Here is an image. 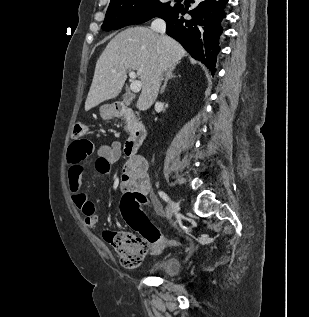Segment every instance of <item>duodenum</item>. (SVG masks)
Returning <instances> with one entry per match:
<instances>
[{
  "label": "duodenum",
  "mask_w": 309,
  "mask_h": 317,
  "mask_svg": "<svg viewBox=\"0 0 309 317\" xmlns=\"http://www.w3.org/2000/svg\"><path fill=\"white\" fill-rule=\"evenodd\" d=\"M113 111L116 117L124 118L130 122V135L125 143V153L128 156H135L145 140V127L138 122L134 111L126 105L118 103L114 106Z\"/></svg>",
  "instance_id": "obj_1"
}]
</instances>
